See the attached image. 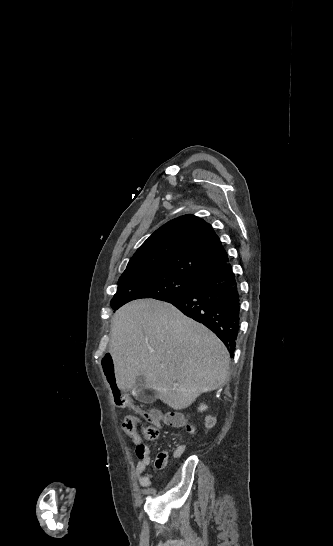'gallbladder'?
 Segmentation results:
<instances>
[{
  "label": "gallbladder",
  "instance_id": "bac80fb5",
  "mask_svg": "<svg viewBox=\"0 0 333 546\" xmlns=\"http://www.w3.org/2000/svg\"><path fill=\"white\" fill-rule=\"evenodd\" d=\"M134 390L136 392V396L138 400L140 401H146L148 403H151L153 401V398L147 394H145V378L144 376H138L135 381Z\"/></svg>",
  "mask_w": 333,
  "mask_h": 546
}]
</instances>
